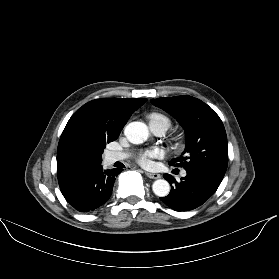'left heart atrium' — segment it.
<instances>
[{"mask_svg":"<svg viewBox=\"0 0 279 279\" xmlns=\"http://www.w3.org/2000/svg\"><path fill=\"white\" fill-rule=\"evenodd\" d=\"M164 156V150L161 148H152L142 151L138 155V163L143 167H148L152 163V159L161 158Z\"/></svg>","mask_w":279,"mask_h":279,"instance_id":"obj_1","label":"left heart atrium"}]
</instances>
